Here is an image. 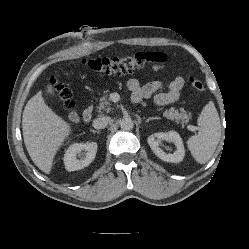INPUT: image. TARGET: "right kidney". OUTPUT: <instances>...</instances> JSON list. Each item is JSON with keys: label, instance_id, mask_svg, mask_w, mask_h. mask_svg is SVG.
<instances>
[{"label": "right kidney", "instance_id": "obj_1", "mask_svg": "<svg viewBox=\"0 0 249 249\" xmlns=\"http://www.w3.org/2000/svg\"><path fill=\"white\" fill-rule=\"evenodd\" d=\"M97 143H75L65 152L64 164L67 171L80 170L88 166L96 156ZM79 158V159H78Z\"/></svg>", "mask_w": 249, "mask_h": 249}]
</instances>
